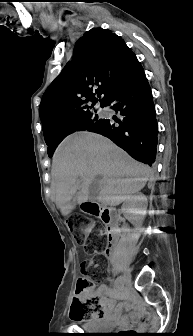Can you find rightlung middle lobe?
Returning a JSON list of instances; mask_svg holds the SVG:
<instances>
[{
	"mask_svg": "<svg viewBox=\"0 0 193 336\" xmlns=\"http://www.w3.org/2000/svg\"><path fill=\"white\" fill-rule=\"evenodd\" d=\"M106 123V119H98L96 115L94 119L91 118L90 113L79 119L67 132L64 134L56 135L51 137L49 140H46V144L48 145V155L51 157L58 146V144L69 134L79 131V130H87L95 132L98 129L102 128Z\"/></svg>",
	"mask_w": 193,
	"mask_h": 336,
	"instance_id": "dd1d6c3e",
	"label": "right lung middle lobe"
}]
</instances>
